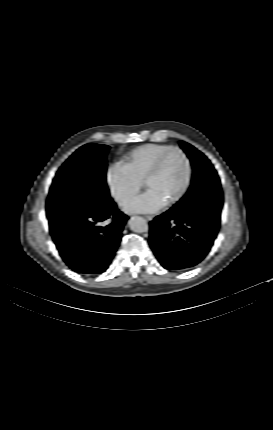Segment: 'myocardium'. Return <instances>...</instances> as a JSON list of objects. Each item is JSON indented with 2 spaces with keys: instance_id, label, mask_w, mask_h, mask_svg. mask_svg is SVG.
<instances>
[{
  "instance_id": "f54148a6",
  "label": "myocardium",
  "mask_w": 273,
  "mask_h": 430,
  "mask_svg": "<svg viewBox=\"0 0 273 430\" xmlns=\"http://www.w3.org/2000/svg\"><path fill=\"white\" fill-rule=\"evenodd\" d=\"M173 152H176L182 156V158L186 164L187 176H186L185 183H184L183 187L181 188V190L178 192L177 195H175L169 202H167L165 204L166 207H172L175 204H177L185 196V194L187 193V191L190 188V185L192 182L193 170H192V165H191L190 159L188 158L187 154L181 148L176 147V146H171L170 148L165 150L159 156V158L157 159L153 168L151 169V171L148 173V175L146 176V178L144 180V184L146 186L149 181L156 178L161 173L162 168L164 166V163L166 161V158L168 157L169 154H171Z\"/></svg>"
}]
</instances>
